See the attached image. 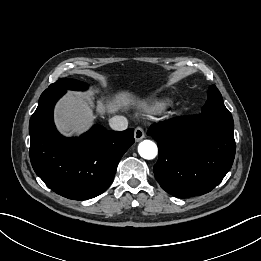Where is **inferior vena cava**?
I'll return each instance as SVG.
<instances>
[{"instance_id": "602c4592", "label": "inferior vena cava", "mask_w": 261, "mask_h": 261, "mask_svg": "<svg viewBox=\"0 0 261 261\" xmlns=\"http://www.w3.org/2000/svg\"><path fill=\"white\" fill-rule=\"evenodd\" d=\"M109 125L113 130L123 131L127 129L128 121L126 117L116 115L109 120Z\"/></svg>"}]
</instances>
